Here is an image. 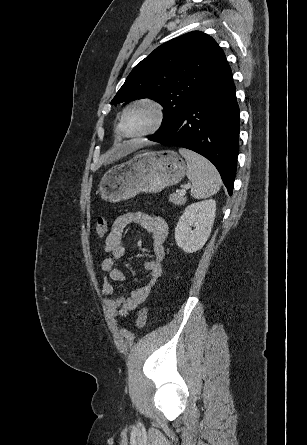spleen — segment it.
Instances as JSON below:
<instances>
[{"label":"spleen","mask_w":307,"mask_h":445,"mask_svg":"<svg viewBox=\"0 0 307 445\" xmlns=\"http://www.w3.org/2000/svg\"><path fill=\"white\" fill-rule=\"evenodd\" d=\"M179 152L187 162V176L192 182L191 196H194V198H208V196L216 194L222 180L214 164L201 154L188 150V148H179Z\"/></svg>","instance_id":"obj_1"}]
</instances>
